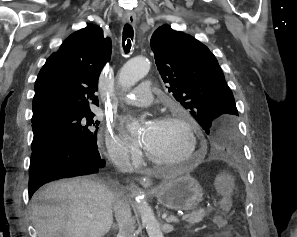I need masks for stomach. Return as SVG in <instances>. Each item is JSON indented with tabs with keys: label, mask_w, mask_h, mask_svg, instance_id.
<instances>
[{
	"label": "stomach",
	"mask_w": 297,
	"mask_h": 237,
	"mask_svg": "<svg viewBox=\"0 0 297 237\" xmlns=\"http://www.w3.org/2000/svg\"><path fill=\"white\" fill-rule=\"evenodd\" d=\"M154 194L161 205L176 210L193 211L203 200L201 185L189 174L164 182Z\"/></svg>",
	"instance_id": "obj_1"
}]
</instances>
